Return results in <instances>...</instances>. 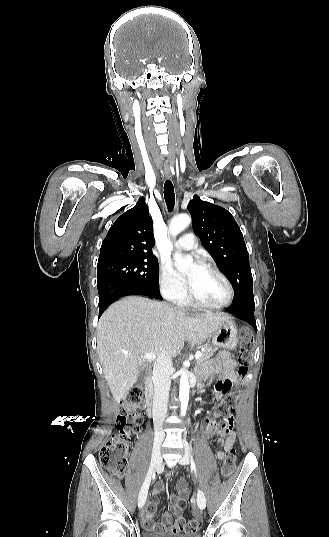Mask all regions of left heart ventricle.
Returning a JSON list of instances; mask_svg holds the SVG:
<instances>
[{
  "instance_id": "1",
  "label": "left heart ventricle",
  "mask_w": 329,
  "mask_h": 537,
  "mask_svg": "<svg viewBox=\"0 0 329 537\" xmlns=\"http://www.w3.org/2000/svg\"><path fill=\"white\" fill-rule=\"evenodd\" d=\"M191 272L192 269L189 274ZM191 290L196 297L212 304L223 303L228 297L227 287L222 279L214 272L203 267L198 272Z\"/></svg>"
}]
</instances>
